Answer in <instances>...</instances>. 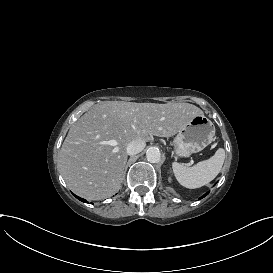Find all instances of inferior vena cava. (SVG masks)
Instances as JSON below:
<instances>
[{
	"instance_id": "602c4592",
	"label": "inferior vena cava",
	"mask_w": 273,
	"mask_h": 273,
	"mask_svg": "<svg viewBox=\"0 0 273 273\" xmlns=\"http://www.w3.org/2000/svg\"><path fill=\"white\" fill-rule=\"evenodd\" d=\"M145 147V142L139 139L131 141L126 148L128 155H134L141 152Z\"/></svg>"
}]
</instances>
